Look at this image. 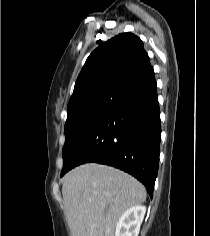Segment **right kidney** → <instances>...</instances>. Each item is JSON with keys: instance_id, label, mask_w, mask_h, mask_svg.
Returning a JSON list of instances; mask_svg holds the SVG:
<instances>
[{"instance_id": "ca27d5eb", "label": "right kidney", "mask_w": 210, "mask_h": 236, "mask_svg": "<svg viewBox=\"0 0 210 236\" xmlns=\"http://www.w3.org/2000/svg\"><path fill=\"white\" fill-rule=\"evenodd\" d=\"M146 207L141 205L127 209L119 218L115 236H138Z\"/></svg>"}]
</instances>
